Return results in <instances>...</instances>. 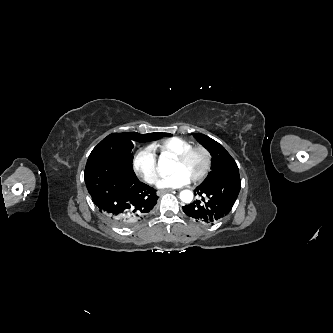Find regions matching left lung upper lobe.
<instances>
[{
	"mask_svg": "<svg viewBox=\"0 0 333 333\" xmlns=\"http://www.w3.org/2000/svg\"><path fill=\"white\" fill-rule=\"evenodd\" d=\"M193 136L213 157L212 171L201 185H209L214 181L230 176H239V170L235 160L221 144L203 134L197 133L193 134Z\"/></svg>",
	"mask_w": 333,
	"mask_h": 333,
	"instance_id": "1",
	"label": "left lung upper lobe"
}]
</instances>
